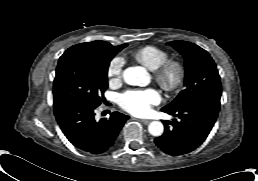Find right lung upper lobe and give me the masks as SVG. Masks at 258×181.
Returning <instances> with one entry per match:
<instances>
[{"label":"right lung upper lobe","instance_id":"obj_1","mask_svg":"<svg viewBox=\"0 0 258 181\" xmlns=\"http://www.w3.org/2000/svg\"><path fill=\"white\" fill-rule=\"evenodd\" d=\"M119 46H112L110 43L105 41H92L88 43L77 44L73 47L90 50L97 54H106L117 51L119 49Z\"/></svg>","mask_w":258,"mask_h":181}]
</instances>
